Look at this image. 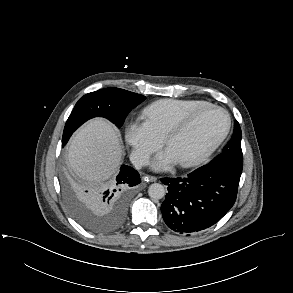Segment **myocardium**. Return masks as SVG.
Listing matches in <instances>:
<instances>
[{"label":"myocardium","mask_w":293,"mask_h":293,"mask_svg":"<svg viewBox=\"0 0 293 293\" xmlns=\"http://www.w3.org/2000/svg\"><path fill=\"white\" fill-rule=\"evenodd\" d=\"M209 109H213V110H217L220 111L222 113H224L225 117H226V126L224 131L206 148L204 149L201 153H199L198 155H196L195 157L183 161V162H179V165L183 168H191L197 165H200L201 163H203L204 161H206L214 152L215 150L220 146V144L226 139V137L228 136L230 129H231V125H232V121H231V117L230 114L228 113V111L220 106L214 105V104H207L204 105L190 113H188L183 119H181L179 122H177L176 124H174L165 134L164 136V142L167 146H169L170 142L178 137L179 135H181L182 133H184L192 124V122L203 112H205L206 110Z\"/></svg>","instance_id":"myocardium-1"}]
</instances>
